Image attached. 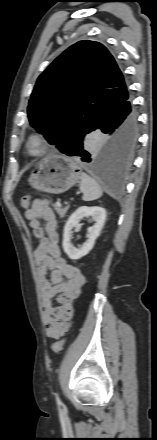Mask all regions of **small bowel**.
<instances>
[{"mask_svg": "<svg viewBox=\"0 0 157 440\" xmlns=\"http://www.w3.org/2000/svg\"><path fill=\"white\" fill-rule=\"evenodd\" d=\"M25 217L33 235L39 240L34 258L46 334L59 339L70 327L73 301L79 296L85 277L79 268L68 263L61 255L58 224L50 201L34 200ZM41 222L45 223L44 226Z\"/></svg>", "mask_w": 157, "mask_h": 440, "instance_id": "small-bowel-1", "label": "small bowel"}]
</instances>
